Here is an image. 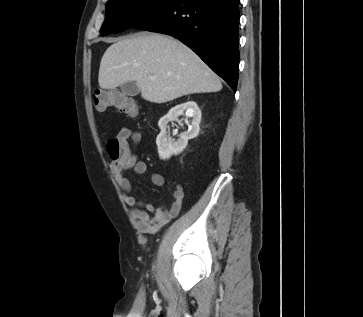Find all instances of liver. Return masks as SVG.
<instances>
[{
	"mask_svg": "<svg viewBox=\"0 0 363 317\" xmlns=\"http://www.w3.org/2000/svg\"><path fill=\"white\" fill-rule=\"evenodd\" d=\"M128 81H135L142 98L154 103L222 89L218 76L190 48L157 33L125 37L105 51L99 68L100 88L114 89Z\"/></svg>",
	"mask_w": 363,
	"mask_h": 317,
	"instance_id": "1",
	"label": "liver"
}]
</instances>
